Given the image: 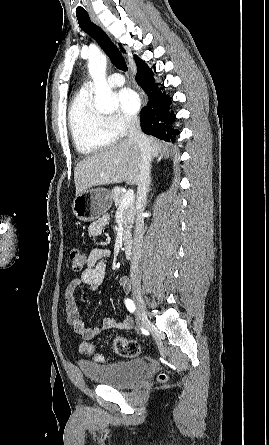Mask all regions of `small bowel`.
Listing matches in <instances>:
<instances>
[{"instance_id": "1", "label": "small bowel", "mask_w": 269, "mask_h": 445, "mask_svg": "<svg viewBox=\"0 0 269 445\" xmlns=\"http://www.w3.org/2000/svg\"><path fill=\"white\" fill-rule=\"evenodd\" d=\"M107 221L108 218L103 216L99 220L91 223L88 228L89 234L91 236L101 235ZM110 254L108 249H93L87 256L86 268L81 276L73 279L65 289L66 321L84 340H91L106 330L114 328L127 330L133 326L132 319L127 316L121 321H117L113 317H106L100 326L88 328L81 319L76 305L75 293L77 289L85 287L96 291L101 286L106 274V260L110 257ZM118 284L125 292L128 293L130 291L131 284L128 277H120Z\"/></svg>"}]
</instances>
